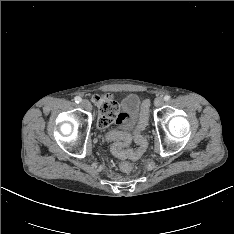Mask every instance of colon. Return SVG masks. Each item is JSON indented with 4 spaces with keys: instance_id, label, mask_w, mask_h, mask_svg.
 Instances as JSON below:
<instances>
[{
    "instance_id": "5ec220e1",
    "label": "colon",
    "mask_w": 234,
    "mask_h": 234,
    "mask_svg": "<svg viewBox=\"0 0 234 234\" xmlns=\"http://www.w3.org/2000/svg\"><path fill=\"white\" fill-rule=\"evenodd\" d=\"M94 103L98 106L100 110V115L98 119V124L100 127H108L112 124L119 125L122 121V115L119 113V106L115 99L111 96H96L94 98ZM151 105L150 100L145 99L142 101L141 113L144 115L142 121L137 122L136 126L133 128L132 135L135 137L136 142L138 143V148H130V144L133 140L132 135L129 132L125 131L122 127L117 126L113 127L111 132L106 136L107 140L112 141L111 151L114 156L120 159H138L145 147V141L141 136L142 129L145 127L147 121V115H149V107ZM122 171L129 173L132 171L133 166L129 162H125L121 165Z\"/></svg>"
}]
</instances>
